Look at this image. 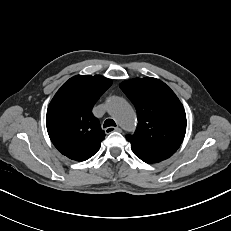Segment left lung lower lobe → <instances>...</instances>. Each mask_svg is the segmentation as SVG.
<instances>
[{"label": "left lung lower lobe", "instance_id": "1", "mask_svg": "<svg viewBox=\"0 0 231 231\" xmlns=\"http://www.w3.org/2000/svg\"><path fill=\"white\" fill-rule=\"evenodd\" d=\"M141 160H143L144 162L151 164V163H157L160 162L162 160L159 159H151V158H144V157H139Z\"/></svg>", "mask_w": 231, "mask_h": 231}]
</instances>
